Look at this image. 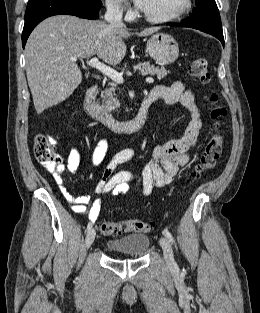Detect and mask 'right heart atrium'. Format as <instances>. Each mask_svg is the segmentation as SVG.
Listing matches in <instances>:
<instances>
[{"label":"right heart atrium","instance_id":"d8ad5b80","mask_svg":"<svg viewBox=\"0 0 260 313\" xmlns=\"http://www.w3.org/2000/svg\"><path fill=\"white\" fill-rule=\"evenodd\" d=\"M107 10L113 15H122L129 11L126 0H105Z\"/></svg>","mask_w":260,"mask_h":313}]
</instances>
